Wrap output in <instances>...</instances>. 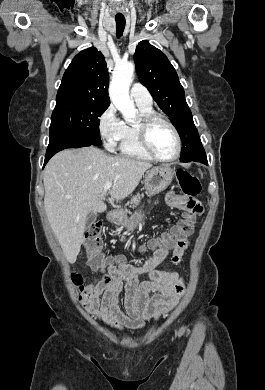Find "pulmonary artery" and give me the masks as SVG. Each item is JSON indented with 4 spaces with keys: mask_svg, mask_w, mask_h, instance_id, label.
Segmentation results:
<instances>
[{
    "mask_svg": "<svg viewBox=\"0 0 265 390\" xmlns=\"http://www.w3.org/2000/svg\"><path fill=\"white\" fill-rule=\"evenodd\" d=\"M130 96L132 100L138 106H151L152 98L148 90L140 85L139 83H134L130 89Z\"/></svg>",
    "mask_w": 265,
    "mask_h": 390,
    "instance_id": "1",
    "label": "pulmonary artery"
}]
</instances>
